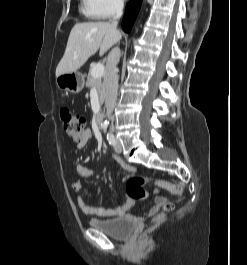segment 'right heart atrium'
Listing matches in <instances>:
<instances>
[{
    "mask_svg": "<svg viewBox=\"0 0 247 265\" xmlns=\"http://www.w3.org/2000/svg\"><path fill=\"white\" fill-rule=\"evenodd\" d=\"M85 13L94 19H106L122 9V0H82Z\"/></svg>",
    "mask_w": 247,
    "mask_h": 265,
    "instance_id": "obj_1",
    "label": "right heart atrium"
}]
</instances>
